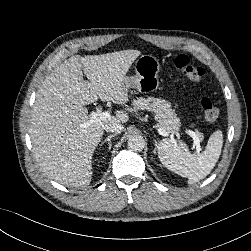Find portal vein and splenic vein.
I'll list each match as a JSON object with an SVG mask.
<instances>
[{"mask_svg": "<svg viewBox=\"0 0 251 251\" xmlns=\"http://www.w3.org/2000/svg\"><path fill=\"white\" fill-rule=\"evenodd\" d=\"M110 117V113L108 111H93L91 113V117L89 122L90 123H94V122H99V121H104L107 118ZM158 133L162 136H169V132L161 129V128H157ZM186 134H188L189 136L192 137L193 139V148H196L197 152L201 151V146H200V138L197 135L196 132L192 131V130H186L185 131Z\"/></svg>", "mask_w": 251, "mask_h": 251, "instance_id": "obj_1", "label": "portal vein and splenic vein"}]
</instances>
